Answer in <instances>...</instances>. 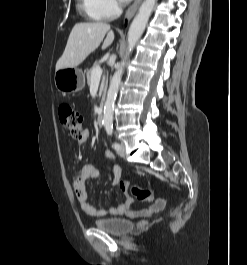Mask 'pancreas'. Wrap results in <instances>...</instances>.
Wrapping results in <instances>:
<instances>
[{
    "instance_id": "1",
    "label": "pancreas",
    "mask_w": 247,
    "mask_h": 265,
    "mask_svg": "<svg viewBox=\"0 0 247 265\" xmlns=\"http://www.w3.org/2000/svg\"><path fill=\"white\" fill-rule=\"evenodd\" d=\"M98 66H99V65L96 63V64L93 65V67H92L91 69H89V70L87 71V83H88V84L91 83V80H92L91 75H92L93 70H94L96 67H98Z\"/></svg>"
}]
</instances>
